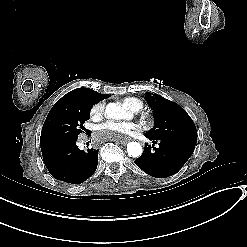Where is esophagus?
<instances>
[{"instance_id":"1","label":"esophagus","mask_w":247,"mask_h":247,"mask_svg":"<svg viewBox=\"0 0 247 247\" xmlns=\"http://www.w3.org/2000/svg\"><path fill=\"white\" fill-rule=\"evenodd\" d=\"M131 142H136V144H137L138 146H141V145L143 144L142 139H129V140H128V143H131Z\"/></svg>"}]
</instances>
